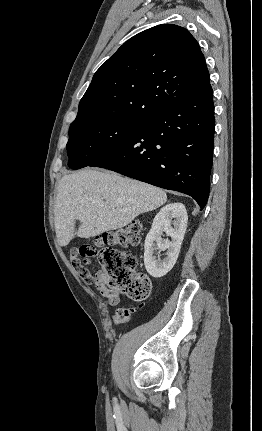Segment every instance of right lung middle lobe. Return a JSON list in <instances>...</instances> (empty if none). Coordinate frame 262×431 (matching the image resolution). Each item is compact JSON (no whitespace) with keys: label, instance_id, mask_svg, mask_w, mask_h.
Listing matches in <instances>:
<instances>
[{"label":"right lung middle lobe","instance_id":"1","mask_svg":"<svg viewBox=\"0 0 262 431\" xmlns=\"http://www.w3.org/2000/svg\"><path fill=\"white\" fill-rule=\"evenodd\" d=\"M142 119L123 118L85 121L71 125L67 143L68 166L91 165L125 141Z\"/></svg>","mask_w":262,"mask_h":431}]
</instances>
